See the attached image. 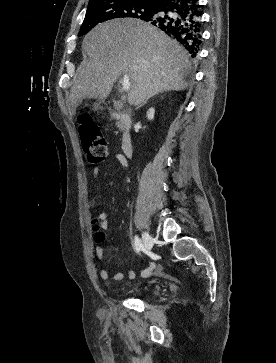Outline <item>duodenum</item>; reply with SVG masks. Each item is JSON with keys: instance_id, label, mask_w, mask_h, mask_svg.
<instances>
[{"instance_id": "410a0bca", "label": "duodenum", "mask_w": 276, "mask_h": 363, "mask_svg": "<svg viewBox=\"0 0 276 363\" xmlns=\"http://www.w3.org/2000/svg\"><path fill=\"white\" fill-rule=\"evenodd\" d=\"M112 116L116 118L121 126V147L126 157H131L133 153L132 140V115L130 111H112Z\"/></svg>"}]
</instances>
